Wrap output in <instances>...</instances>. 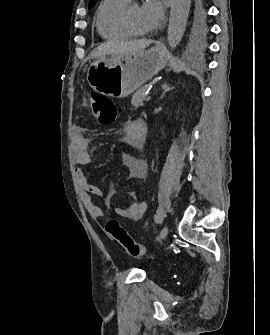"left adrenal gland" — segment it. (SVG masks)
<instances>
[{
	"instance_id": "left-adrenal-gland-1",
	"label": "left adrenal gland",
	"mask_w": 270,
	"mask_h": 335,
	"mask_svg": "<svg viewBox=\"0 0 270 335\" xmlns=\"http://www.w3.org/2000/svg\"><path fill=\"white\" fill-rule=\"evenodd\" d=\"M174 86H171V84H163L162 86V90H164L163 92V96L164 94H166V92H170V90H173Z\"/></svg>"
}]
</instances>
